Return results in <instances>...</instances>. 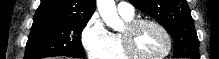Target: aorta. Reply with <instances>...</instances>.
<instances>
[{
  "label": "aorta",
  "mask_w": 219,
  "mask_h": 59,
  "mask_svg": "<svg viewBox=\"0 0 219 59\" xmlns=\"http://www.w3.org/2000/svg\"><path fill=\"white\" fill-rule=\"evenodd\" d=\"M97 8L100 16L107 26L118 29L122 21L117 14L114 0H97Z\"/></svg>",
  "instance_id": "1"
}]
</instances>
